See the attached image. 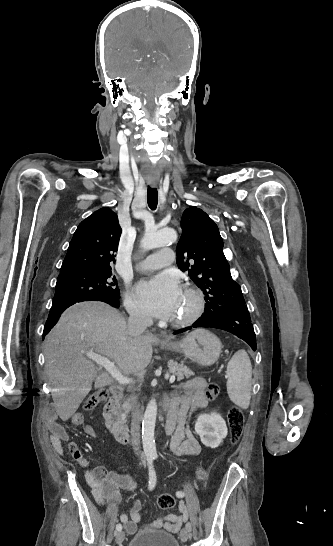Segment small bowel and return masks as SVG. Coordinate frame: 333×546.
<instances>
[{"mask_svg":"<svg viewBox=\"0 0 333 546\" xmlns=\"http://www.w3.org/2000/svg\"><path fill=\"white\" fill-rule=\"evenodd\" d=\"M204 393V380L194 378L185 383L183 395L175 397L167 403L166 432L172 435L169 447L176 455H197L201 450L200 443L195 435L190 429L185 428V422L187 411L191 406L201 409L207 405L208 400ZM74 421L80 423L82 421L81 415L74 417ZM49 430L51 433L50 441L54 450L58 454H63V443H66L70 454L85 468L87 477L93 483L92 495L94 500L101 506L117 504L119 501L117 489L118 487H128L130 485L129 480H116L102 468H91L86 459L83 458L77 445L70 441L68 433L56 420L52 419L49 422ZM83 430L87 437L95 438L96 434L91 426L85 425ZM140 508V501H134L129 515H120V521L130 534L136 531L137 525L141 522ZM178 510L180 515L169 514L158 518L153 522V525L162 527L168 532L177 533L188 518L184 502L178 504Z\"/></svg>","mask_w":333,"mask_h":546,"instance_id":"obj_1","label":"small bowel"}]
</instances>
